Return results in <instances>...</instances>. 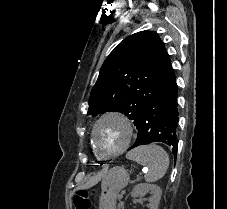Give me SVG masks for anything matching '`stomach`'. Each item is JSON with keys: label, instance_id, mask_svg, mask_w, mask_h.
<instances>
[{"label": "stomach", "instance_id": "stomach-1", "mask_svg": "<svg viewBox=\"0 0 227 209\" xmlns=\"http://www.w3.org/2000/svg\"><path fill=\"white\" fill-rule=\"evenodd\" d=\"M129 182V174L124 167L115 166L103 176L101 183L100 209H115L118 193Z\"/></svg>", "mask_w": 227, "mask_h": 209}]
</instances>
